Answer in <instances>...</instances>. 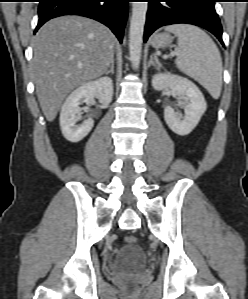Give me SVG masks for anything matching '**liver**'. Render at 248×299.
Here are the masks:
<instances>
[{"label": "liver", "instance_id": "obj_1", "mask_svg": "<svg viewBox=\"0 0 248 299\" xmlns=\"http://www.w3.org/2000/svg\"><path fill=\"white\" fill-rule=\"evenodd\" d=\"M114 35L101 23L63 16L43 25L35 36L31 69L40 107L53 121L67 95L104 74L113 59Z\"/></svg>", "mask_w": 248, "mask_h": 299}]
</instances>
